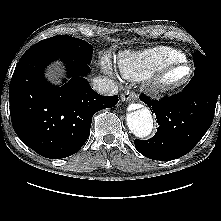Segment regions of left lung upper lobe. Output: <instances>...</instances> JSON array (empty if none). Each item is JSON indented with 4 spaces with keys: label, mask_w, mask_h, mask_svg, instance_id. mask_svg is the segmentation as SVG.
Returning a JSON list of instances; mask_svg holds the SVG:
<instances>
[{
    "label": "left lung upper lobe",
    "mask_w": 221,
    "mask_h": 221,
    "mask_svg": "<svg viewBox=\"0 0 221 221\" xmlns=\"http://www.w3.org/2000/svg\"><path fill=\"white\" fill-rule=\"evenodd\" d=\"M194 64L196 66L195 74L199 72L213 70L211 63L207 60L206 56L198 51L194 53Z\"/></svg>",
    "instance_id": "1"
}]
</instances>
